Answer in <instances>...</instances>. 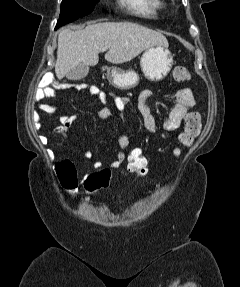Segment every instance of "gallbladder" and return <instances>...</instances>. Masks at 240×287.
<instances>
[{"label": "gallbladder", "instance_id": "gallbladder-1", "mask_svg": "<svg viewBox=\"0 0 240 287\" xmlns=\"http://www.w3.org/2000/svg\"><path fill=\"white\" fill-rule=\"evenodd\" d=\"M88 73L89 66L84 63H80L67 73L66 78L69 80L77 81L85 78Z\"/></svg>", "mask_w": 240, "mask_h": 287}]
</instances>
